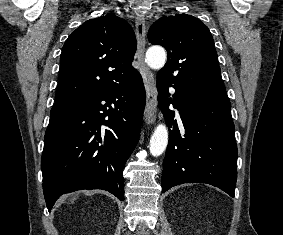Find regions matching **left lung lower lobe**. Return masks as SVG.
Listing matches in <instances>:
<instances>
[{
    "instance_id": "obj_1",
    "label": "left lung lower lobe",
    "mask_w": 283,
    "mask_h": 235,
    "mask_svg": "<svg viewBox=\"0 0 283 235\" xmlns=\"http://www.w3.org/2000/svg\"><path fill=\"white\" fill-rule=\"evenodd\" d=\"M176 90L168 98V87ZM158 103L169 127L162 192L188 182L207 183L234 197L237 146L228 98L203 95L157 75ZM168 98V99H167ZM179 110L177 121L168 106Z\"/></svg>"
}]
</instances>
